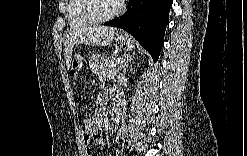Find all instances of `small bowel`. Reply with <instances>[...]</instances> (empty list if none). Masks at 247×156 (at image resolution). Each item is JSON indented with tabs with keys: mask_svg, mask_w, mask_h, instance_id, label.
I'll return each instance as SVG.
<instances>
[{
	"mask_svg": "<svg viewBox=\"0 0 247 156\" xmlns=\"http://www.w3.org/2000/svg\"><path fill=\"white\" fill-rule=\"evenodd\" d=\"M81 67H82V65L81 64H78V63L73 66V68L71 70V75L73 76L74 79L77 78L78 73H79ZM106 99H107V92L101 93L100 98H99V104H98L99 113L102 112L103 107H104V103H105ZM84 130H83V132H84ZM95 140L97 142H101L102 141L100 135H97L95 137ZM84 142H85V145H86V147H85V154L86 155H92V150H91V148L89 146L90 137H88L87 135H85V133H84Z\"/></svg>",
	"mask_w": 247,
	"mask_h": 156,
	"instance_id": "small-bowel-1",
	"label": "small bowel"
}]
</instances>
